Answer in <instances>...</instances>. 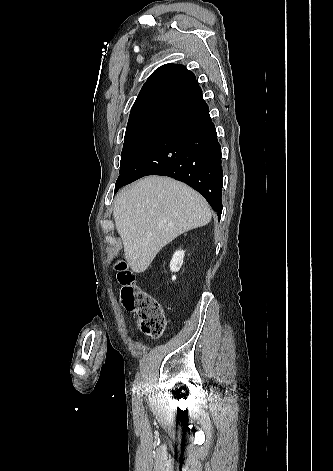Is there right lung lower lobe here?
<instances>
[{"label":"right lung lower lobe","mask_w":333,"mask_h":471,"mask_svg":"<svg viewBox=\"0 0 333 471\" xmlns=\"http://www.w3.org/2000/svg\"><path fill=\"white\" fill-rule=\"evenodd\" d=\"M221 146L209 107L202 99L156 136L118 177L115 192L143 176L163 175L201 193L222 213Z\"/></svg>","instance_id":"obj_1"}]
</instances>
